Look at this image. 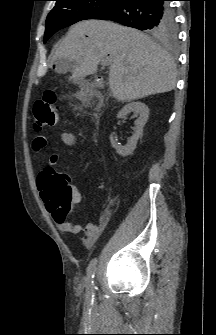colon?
<instances>
[{"label": "colon", "instance_id": "5ec220e1", "mask_svg": "<svg viewBox=\"0 0 216 335\" xmlns=\"http://www.w3.org/2000/svg\"><path fill=\"white\" fill-rule=\"evenodd\" d=\"M59 114L57 96L53 90L45 91L43 97L33 106V125L36 130H43L56 124ZM50 191L58 199V204L63 206L67 213L73 203L68 177L56 176L50 185Z\"/></svg>", "mask_w": 216, "mask_h": 335}]
</instances>
